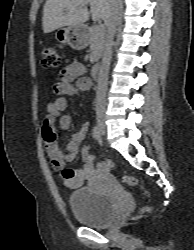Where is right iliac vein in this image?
I'll return each instance as SVG.
<instances>
[{
    "label": "right iliac vein",
    "mask_w": 194,
    "mask_h": 250,
    "mask_svg": "<svg viewBox=\"0 0 194 250\" xmlns=\"http://www.w3.org/2000/svg\"><path fill=\"white\" fill-rule=\"evenodd\" d=\"M97 125H98V128H99L100 133H101L102 135H105L106 127H105L104 119H103V118H98V119H97Z\"/></svg>",
    "instance_id": "1"
}]
</instances>
